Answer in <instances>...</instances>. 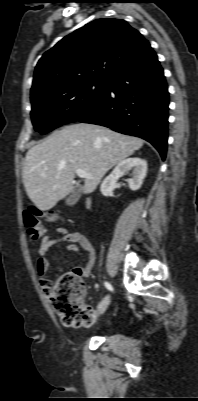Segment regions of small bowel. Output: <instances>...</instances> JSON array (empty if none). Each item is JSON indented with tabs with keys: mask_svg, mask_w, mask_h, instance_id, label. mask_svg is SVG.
<instances>
[{
	"mask_svg": "<svg viewBox=\"0 0 198 401\" xmlns=\"http://www.w3.org/2000/svg\"><path fill=\"white\" fill-rule=\"evenodd\" d=\"M63 243L66 249L70 251L83 252L86 256V262L81 266L78 271L79 273L86 277L91 273L93 265L96 259V253L91 241L79 231H68L63 227L55 228L49 235H46L38 247V257L36 260V271L39 276L40 285L46 293L51 288L50 280L47 278L46 273L49 268V261L47 259L48 251L56 244ZM106 305L105 302L95 309V312L100 311Z\"/></svg>",
	"mask_w": 198,
	"mask_h": 401,
	"instance_id": "obj_1",
	"label": "small bowel"
}]
</instances>
